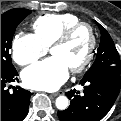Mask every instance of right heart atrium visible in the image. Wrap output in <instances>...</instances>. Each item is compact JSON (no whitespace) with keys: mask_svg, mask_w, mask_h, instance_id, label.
<instances>
[{"mask_svg":"<svg viewBox=\"0 0 121 121\" xmlns=\"http://www.w3.org/2000/svg\"><path fill=\"white\" fill-rule=\"evenodd\" d=\"M12 58L20 66H26L42 57L47 48L31 33L16 34L11 44Z\"/></svg>","mask_w":121,"mask_h":121,"instance_id":"right-heart-atrium-1","label":"right heart atrium"}]
</instances>
